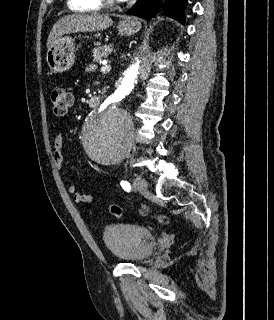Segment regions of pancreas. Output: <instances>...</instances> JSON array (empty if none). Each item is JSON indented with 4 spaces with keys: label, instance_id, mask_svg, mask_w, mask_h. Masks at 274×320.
Returning <instances> with one entry per match:
<instances>
[{
    "label": "pancreas",
    "instance_id": "pancreas-1",
    "mask_svg": "<svg viewBox=\"0 0 274 320\" xmlns=\"http://www.w3.org/2000/svg\"><path fill=\"white\" fill-rule=\"evenodd\" d=\"M112 50V46H102V48H94V50H92L94 62H99V60H103V58H108Z\"/></svg>",
    "mask_w": 274,
    "mask_h": 320
}]
</instances>
